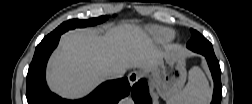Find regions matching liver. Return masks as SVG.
Returning a JSON list of instances; mask_svg holds the SVG:
<instances>
[{"instance_id":"obj_1","label":"liver","mask_w":252,"mask_h":104,"mask_svg":"<svg viewBox=\"0 0 252 104\" xmlns=\"http://www.w3.org/2000/svg\"><path fill=\"white\" fill-rule=\"evenodd\" d=\"M178 50L168 46L166 50ZM163 51L137 25L123 23L99 34L91 28L65 33L53 53L47 71L52 91L66 98L91 92L113 68L152 71Z\"/></svg>"}]
</instances>
